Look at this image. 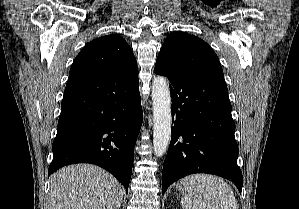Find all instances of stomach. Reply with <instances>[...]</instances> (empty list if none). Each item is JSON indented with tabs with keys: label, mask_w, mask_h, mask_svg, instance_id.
<instances>
[{
	"label": "stomach",
	"mask_w": 299,
	"mask_h": 209,
	"mask_svg": "<svg viewBox=\"0 0 299 209\" xmlns=\"http://www.w3.org/2000/svg\"><path fill=\"white\" fill-rule=\"evenodd\" d=\"M178 188H179L180 190H182V188H181L180 184H179Z\"/></svg>",
	"instance_id": "obj_1"
}]
</instances>
